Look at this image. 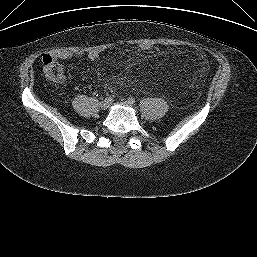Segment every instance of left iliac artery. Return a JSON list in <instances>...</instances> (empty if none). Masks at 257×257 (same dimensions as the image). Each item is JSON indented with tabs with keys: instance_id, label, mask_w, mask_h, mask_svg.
Wrapping results in <instances>:
<instances>
[{
	"instance_id": "44dca946",
	"label": "left iliac artery",
	"mask_w": 257,
	"mask_h": 257,
	"mask_svg": "<svg viewBox=\"0 0 257 257\" xmlns=\"http://www.w3.org/2000/svg\"><path fill=\"white\" fill-rule=\"evenodd\" d=\"M128 101L131 103V104H134L136 101H135V98L133 97H129L128 98Z\"/></svg>"
}]
</instances>
